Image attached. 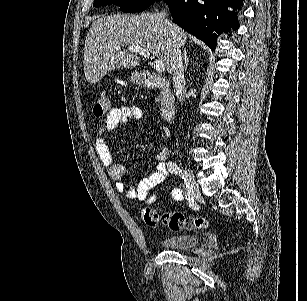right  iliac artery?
<instances>
[{
    "label": "right iliac artery",
    "instance_id": "82829eb1",
    "mask_svg": "<svg viewBox=\"0 0 307 301\" xmlns=\"http://www.w3.org/2000/svg\"><path fill=\"white\" fill-rule=\"evenodd\" d=\"M167 167H168V170L171 173L179 174L184 179V181L186 183V187H188L187 182H186V175L184 173H182V170L177 166L176 163L170 161V162H168Z\"/></svg>",
    "mask_w": 307,
    "mask_h": 301
}]
</instances>
